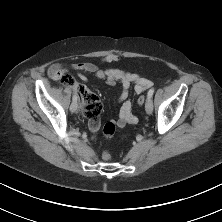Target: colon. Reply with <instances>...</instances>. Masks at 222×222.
<instances>
[{
    "label": "colon",
    "mask_w": 222,
    "mask_h": 222,
    "mask_svg": "<svg viewBox=\"0 0 222 222\" xmlns=\"http://www.w3.org/2000/svg\"><path fill=\"white\" fill-rule=\"evenodd\" d=\"M62 82L65 84H72V78L69 75L61 76ZM78 92L80 95V100L84 107V114L89 115L91 113H96L101 110V103L99 98L90 90L80 86L78 87ZM145 97H139L138 105L142 106L144 104ZM115 132V124L112 122H108L103 127V134L106 138H110L113 136ZM104 159H109V154L107 151L103 153Z\"/></svg>",
    "instance_id": "5ec220e1"
}]
</instances>
